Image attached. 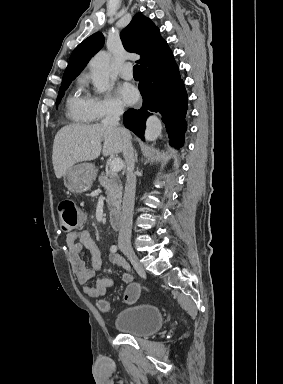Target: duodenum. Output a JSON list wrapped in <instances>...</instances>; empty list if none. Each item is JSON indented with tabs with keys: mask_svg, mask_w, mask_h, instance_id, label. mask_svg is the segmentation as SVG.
Here are the masks:
<instances>
[{
	"mask_svg": "<svg viewBox=\"0 0 283 384\" xmlns=\"http://www.w3.org/2000/svg\"><path fill=\"white\" fill-rule=\"evenodd\" d=\"M111 225L115 229H120L122 227V212L115 211L109 215Z\"/></svg>",
	"mask_w": 283,
	"mask_h": 384,
	"instance_id": "duodenum-1",
	"label": "duodenum"
}]
</instances>
